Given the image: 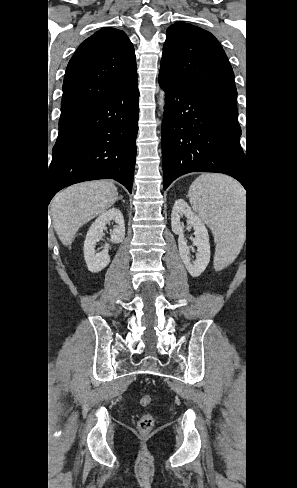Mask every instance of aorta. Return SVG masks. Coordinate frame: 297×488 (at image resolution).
Returning <instances> with one entry per match:
<instances>
[{
  "instance_id": "aorta-1",
  "label": "aorta",
  "mask_w": 297,
  "mask_h": 488,
  "mask_svg": "<svg viewBox=\"0 0 297 488\" xmlns=\"http://www.w3.org/2000/svg\"><path fill=\"white\" fill-rule=\"evenodd\" d=\"M158 104H159V109H160L161 113L163 114L164 106H165V92L163 90H160V92H159Z\"/></svg>"
}]
</instances>
